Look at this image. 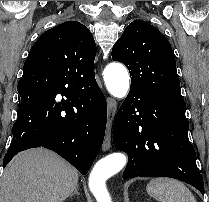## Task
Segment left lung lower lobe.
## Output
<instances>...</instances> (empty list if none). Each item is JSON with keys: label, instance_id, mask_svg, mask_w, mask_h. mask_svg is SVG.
Segmentation results:
<instances>
[{"label": "left lung lower lobe", "instance_id": "left-lung-lower-lobe-1", "mask_svg": "<svg viewBox=\"0 0 209 202\" xmlns=\"http://www.w3.org/2000/svg\"><path fill=\"white\" fill-rule=\"evenodd\" d=\"M185 102L151 96L131 89L120 107L113 130L118 150L128 154L123 179L171 177L204 194L203 178L188 138Z\"/></svg>", "mask_w": 209, "mask_h": 202}]
</instances>
